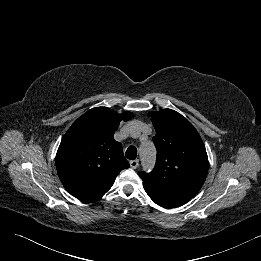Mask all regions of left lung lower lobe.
<instances>
[{
    "label": "left lung lower lobe",
    "instance_id": "0a47b994",
    "mask_svg": "<svg viewBox=\"0 0 261 261\" xmlns=\"http://www.w3.org/2000/svg\"><path fill=\"white\" fill-rule=\"evenodd\" d=\"M145 191L149 197L159 206L165 208H174L187 203L191 198L188 195L159 190L153 187L145 186Z\"/></svg>",
    "mask_w": 261,
    "mask_h": 261
}]
</instances>
